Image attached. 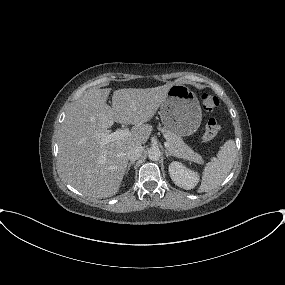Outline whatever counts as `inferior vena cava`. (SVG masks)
<instances>
[{
	"instance_id": "602c4592",
	"label": "inferior vena cava",
	"mask_w": 285,
	"mask_h": 285,
	"mask_svg": "<svg viewBox=\"0 0 285 285\" xmlns=\"http://www.w3.org/2000/svg\"><path fill=\"white\" fill-rule=\"evenodd\" d=\"M143 147L142 145L140 144H136L134 146H132L128 152H127V158L130 160V161H136L138 160L142 153H143Z\"/></svg>"
}]
</instances>
